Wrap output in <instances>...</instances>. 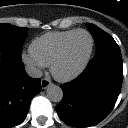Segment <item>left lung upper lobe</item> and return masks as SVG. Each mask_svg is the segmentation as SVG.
<instances>
[{"mask_svg":"<svg viewBox=\"0 0 128 128\" xmlns=\"http://www.w3.org/2000/svg\"><path fill=\"white\" fill-rule=\"evenodd\" d=\"M87 26L90 29L96 43V53L105 49L119 48L111 35L94 24H87Z\"/></svg>","mask_w":128,"mask_h":128,"instance_id":"1","label":"left lung upper lobe"}]
</instances>
